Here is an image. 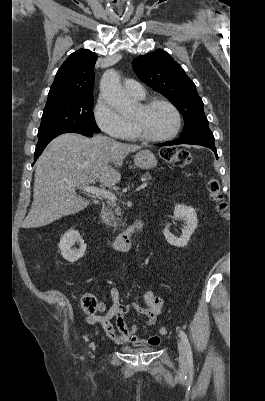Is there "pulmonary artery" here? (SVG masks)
<instances>
[{
    "label": "pulmonary artery",
    "mask_w": 265,
    "mask_h": 401,
    "mask_svg": "<svg viewBox=\"0 0 265 401\" xmlns=\"http://www.w3.org/2000/svg\"><path fill=\"white\" fill-rule=\"evenodd\" d=\"M124 90L132 96L135 97H143L144 89L138 84L137 81H124L123 82Z\"/></svg>",
    "instance_id": "1"
}]
</instances>
